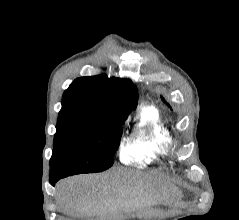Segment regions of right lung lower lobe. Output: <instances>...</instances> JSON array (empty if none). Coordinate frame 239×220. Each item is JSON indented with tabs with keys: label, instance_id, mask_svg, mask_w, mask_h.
Listing matches in <instances>:
<instances>
[{
	"label": "right lung lower lobe",
	"instance_id": "right-lung-lower-lobe-1",
	"mask_svg": "<svg viewBox=\"0 0 239 220\" xmlns=\"http://www.w3.org/2000/svg\"><path fill=\"white\" fill-rule=\"evenodd\" d=\"M57 181H58L57 179H49L50 184L53 186L55 185Z\"/></svg>",
	"mask_w": 239,
	"mask_h": 220
}]
</instances>
